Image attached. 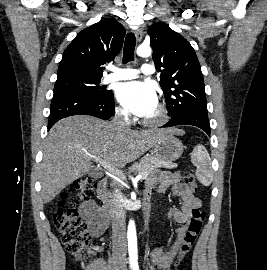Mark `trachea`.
Returning a JSON list of instances; mask_svg holds the SVG:
<instances>
[{
  "label": "trachea",
  "instance_id": "1",
  "mask_svg": "<svg viewBox=\"0 0 267 270\" xmlns=\"http://www.w3.org/2000/svg\"><path fill=\"white\" fill-rule=\"evenodd\" d=\"M136 45V38L133 33H128L124 43L123 63L134 60V50Z\"/></svg>",
  "mask_w": 267,
  "mask_h": 270
}]
</instances>
